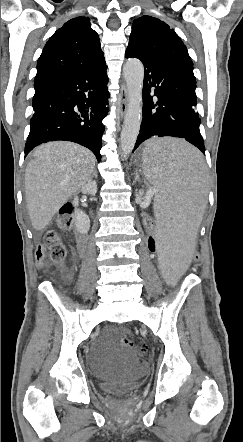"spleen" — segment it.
<instances>
[{"label":"spleen","mask_w":243,"mask_h":442,"mask_svg":"<svg viewBox=\"0 0 243 442\" xmlns=\"http://www.w3.org/2000/svg\"><path fill=\"white\" fill-rule=\"evenodd\" d=\"M140 178L154 184V205L161 239L157 251L167 280H180L185 273L199 219L205 212V164L202 154L184 140L151 139L140 155ZM171 165V166H170ZM172 167V168H171Z\"/></svg>","instance_id":"spleen-1"}]
</instances>
